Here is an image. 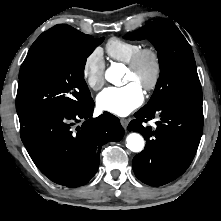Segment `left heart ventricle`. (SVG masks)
Returning <instances> with one entry per match:
<instances>
[{
    "label": "left heart ventricle",
    "instance_id": "b2bd125f",
    "mask_svg": "<svg viewBox=\"0 0 221 221\" xmlns=\"http://www.w3.org/2000/svg\"><path fill=\"white\" fill-rule=\"evenodd\" d=\"M150 74H151V63L147 61L138 74H134L128 69L126 81L127 82L135 81L141 85L143 81L149 78Z\"/></svg>",
    "mask_w": 221,
    "mask_h": 221
}]
</instances>
